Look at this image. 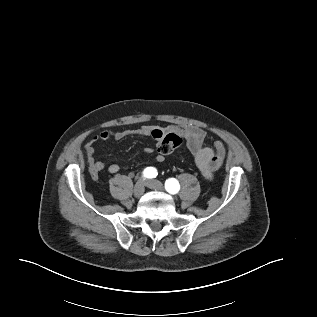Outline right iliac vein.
Wrapping results in <instances>:
<instances>
[{
	"label": "right iliac vein",
	"instance_id": "63e3f726",
	"mask_svg": "<svg viewBox=\"0 0 317 317\" xmlns=\"http://www.w3.org/2000/svg\"><path fill=\"white\" fill-rule=\"evenodd\" d=\"M144 191H145V182L140 180L136 183L133 193L135 197H141L144 194Z\"/></svg>",
	"mask_w": 317,
	"mask_h": 317
}]
</instances>
